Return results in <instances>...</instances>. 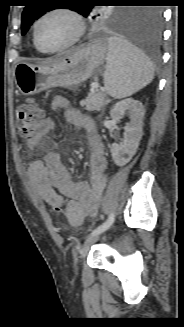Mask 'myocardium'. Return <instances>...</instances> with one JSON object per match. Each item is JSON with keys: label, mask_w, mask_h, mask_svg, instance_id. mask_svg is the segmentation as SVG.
Segmentation results:
<instances>
[{"label": "myocardium", "mask_w": 184, "mask_h": 327, "mask_svg": "<svg viewBox=\"0 0 184 327\" xmlns=\"http://www.w3.org/2000/svg\"><path fill=\"white\" fill-rule=\"evenodd\" d=\"M52 14H64V15H67L68 17H70L75 24L76 31H75V34L72 37V39L69 42H67L66 44L56 47V48H45L42 45H40V43L38 41L37 30H38L39 24L46 17H48ZM85 32H86V25H85L84 19L80 13H78L76 10H74L70 7H64V6L54 7V8H51V9L45 11L35 21V23L33 25V41H34V44L37 47V49H39L40 51H42L44 53H56V52L64 51V50L69 49V48L73 47L74 45H76L83 38V36L85 35Z\"/></svg>", "instance_id": "obj_1"}]
</instances>
